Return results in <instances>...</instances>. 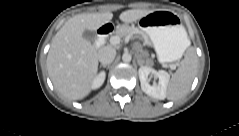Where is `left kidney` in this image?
<instances>
[{"label": "left kidney", "instance_id": "5707ae66", "mask_svg": "<svg viewBox=\"0 0 239 136\" xmlns=\"http://www.w3.org/2000/svg\"><path fill=\"white\" fill-rule=\"evenodd\" d=\"M150 74H153L154 76L159 78L158 84H149L148 76ZM139 79L141 83V89L147 95L160 100L166 98L167 86L170 79V75L166 71H156L151 67L141 66L139 68Z\"/></svg>", "mask_w": 239, "mask_h": 136}]
</instances>
